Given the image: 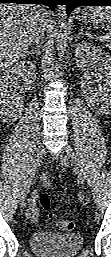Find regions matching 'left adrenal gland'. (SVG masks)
<instances>
[{"mask_svg": "<svg viewBox=\"0 0 111 257\" xmlns=\"http://www.w3.org/2000/svg\"><path fill=\"white\" fill-rule=\"evenodd\" d=\"M81 35H87L90 37V34L87 32H84L82 28L80 29V32L78 33L77 38H79Z\"/></svg>", "mask_w": 111, "mask_h": 257, "instance_id": "left-adrenal-gland-1", "label": "left adrenal gland"}]
</instances>
